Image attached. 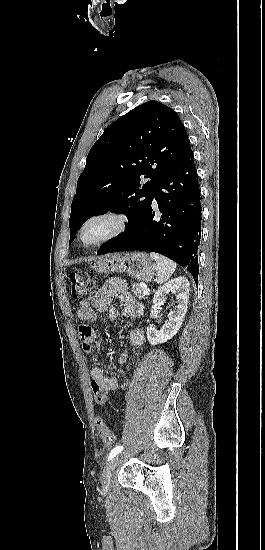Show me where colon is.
Wrapping results in <instances>:
<instances>
[{
    "label": "colon",
    "instance_id": "1",
    "mask_svg": "<svg viewBox=\"0 0 265 550\" xmlns=\"http://www.w3.org/2000/svg\"><path fill=\"white\" fill-rule=\"evenodd\" d=\"M68 277L71 293L75 298H81L83 296L90 295L95 291V280L91 278L85 271L78 269L72 270L69 272ZM93 395L98 404H106L108 400L107 395L103 391H101L96 385L93 386ZM96 427L103 443L106 446L113 445L115 437L105 421L101 418H98L96 420Z\"/></svg>",
    "mask_w": 265,
    "mask_h": 550
}]
</instances>
